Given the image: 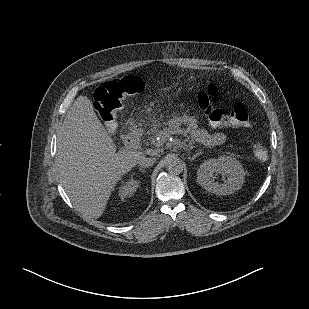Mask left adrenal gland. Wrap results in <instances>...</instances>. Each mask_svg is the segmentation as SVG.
Returning a JSON list of instances; mask_svg holds the SVG:
<instances>
[{"label":"left adrenal gland","instance_id":"a2214340","mask_svg":"<svg viewBox=\"0 0 309 309\" xmlns=\"http://www.w3.org/2000/svg\"><path fill=\"white\" fill-rule=\"evenodd\" d=\"M200 155V153H196L193 156H189L188 159L192 162L193 160H195L196 157H198Z\"/></svg>","mask_w":309,"mask_h":309}]
</instances>
